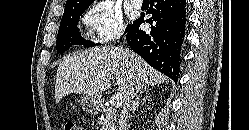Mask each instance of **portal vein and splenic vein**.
<instances>
[{"label": "portal vein and splenic vein", "mask_w": 249, "mask_h": 130, "mask_svg": "<svg viewBox=\"0 0 249 130\" xmlns=\"http://www.w3.org/2000/svg\"><path fill=\"white\" fill-rule=\"evenodd\" d=\"M121 100H122V98H121L120 94L117 93V94L113 95V97L111 98L110 103H111V105L113 107L117 108V107H119L122 104Z\"/></svg>", "instance_id": "18ae733b"}]
</instances>
